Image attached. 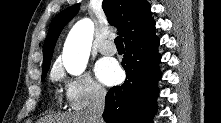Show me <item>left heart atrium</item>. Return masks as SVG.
Listing matches in <instances>:
<instances>
[{"label": "left heart atrium", "mask_w": 221, "mask_h": 123, "mask_svg": "<svg viewBox=\"0 0 221 123\" xmlns=\"http://www.w3.org/2000/svg\"><path fill=\"white\" fill-rule=\"evenodd\" d=\"M95 74L98 80L107 86L118 83L122 78V71L118 63L109 58H104L97 62Z\"/></svg>", "instance_id": "obj_1"}]
</instances>
